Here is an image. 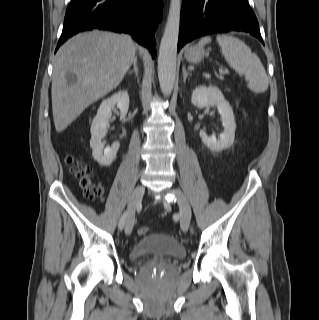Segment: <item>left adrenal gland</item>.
<instances>
[{
  "label": "left adrenal gland",
  "mask_w": 319,
  "mask_h": 320,
  "mask_svg": "<svg viewBox=\"0 0 319 320\" xmlns=\"http://www.w3.org/2000/svg\"><path fill=\"white\" fill-rule=\"evenodd\" d=\"M189 75H191V73L186 71V67H183V81H184V83L186 82V79Z\"/></svg>",
  "instance_id": "left-adrenal-gland-1"
}]
</instances>
